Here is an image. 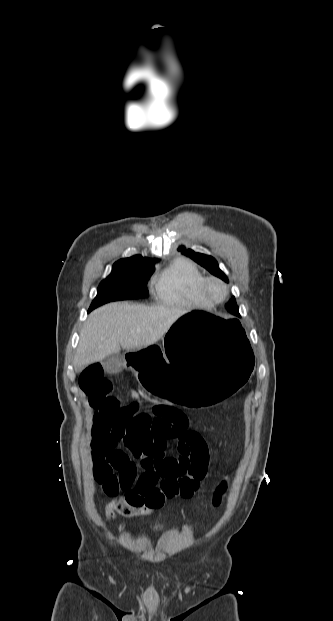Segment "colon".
Returning a JSON list of instances; mask_svg holds the SVG:
<instances>
[{
    "instance_id": "colon-1",
    "label": "colon",
    "mask_w": 333,
    "mask_h": 621,
    "mask_svg": "<svg viewBox=\"0 0 333 621\" xmlns=\"http://www.w3.org/2000/svg\"><path fill=\"white\" fill-rule=\"evenodd\" d=\"M136 476L137 469L132 461H127L122 469H115L108 464H100L94 471L96 481L102 485L104 492L111 497H116L121 490L131 487ZM225 490L226 483L224 482H221L215 489L212 498L215 506L221 503ZM152 510L154 509L148 507L133 508L123 498H117L107 504L106 516L112 519L116 512L125 516H136L147 514Z\"/></svg>"
}]
</instances>
